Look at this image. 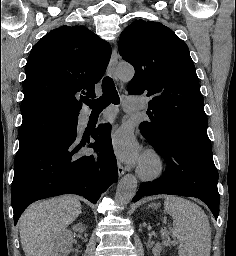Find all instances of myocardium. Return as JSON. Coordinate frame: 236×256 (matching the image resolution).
I'll list each match as a JSON object with an SVG mask.
<instances>
[{"mask_svg":"<svg viewBox=\"0 0 236 256\" xmlns=\"http://www.w3.org/2000/svg\"><path fill=\"white\" fill-rule=\"evenodd\" d=\"M165 171L166 161L163 155L156 149H147L137 169L139 178L148 182L155 181L159 179Z\"/></svg>","mask_w":236,"mask_h":256,"instance_id":"1","label":"myocardium"}]
</instances>
